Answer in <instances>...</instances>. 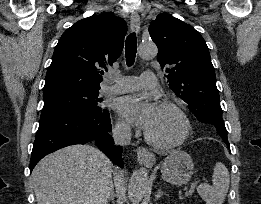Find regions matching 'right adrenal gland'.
Here are the masks:
<instances>
[{
  "label": "right adrenal gland",
  "mask_w": 261,
  "mask_h": 204,
  "mask_svg": "<svg viewBox=\"0 0 261 204\" xmlns=\"http://www.w3.org/2000/svg\"><path fill=\"white\" fill-rule=\"evenodd\" d=\"M114 190L111 191V194H110V197H109V200H111L112 202H114Z\"/></svg>",
  "instance_id": "right-adrenal-gland-1"
}]
</instances>
